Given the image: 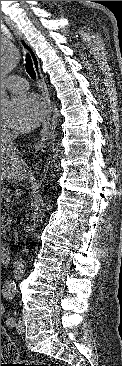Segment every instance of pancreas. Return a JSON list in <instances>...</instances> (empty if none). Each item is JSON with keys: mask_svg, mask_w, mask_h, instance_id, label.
<instances>
[{"mask_svg": "<svg viewBox=\"0 0 122 366\" xmlns=\"http://www.w3.org/2000/svg\"><path fill=\"white\" fill-rule=\"evenodd\" d=\"M6 191H7V189L4 186H2L1 187V201L3 200V198H6V196H7ZM5 227H6V225L3 224L2 219H1V230L5 229ZM1 235H2V232H1Z\"/></svg>", "mask_w": 122, "mask_h": 366, "instance_id": "pancreas-1", "label": "pancreas"}]
</instances>
